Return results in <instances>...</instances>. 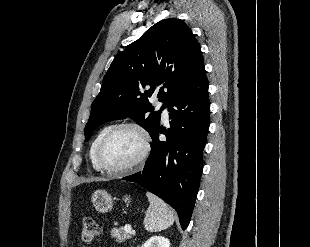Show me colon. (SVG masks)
Returning <instances> with one entry per match:
<instances>
[{"label": "colon", "mask_w": 310, "mask_h": 247, "mask_svg": "<svg viewBox=\"0 0 310 247\" xmlns=\"http://www.w3.org/2000/svg\"><path fill=\"white\" fill-rule=\"evenodd\" d=\"M100 233L99 225L92 218H85L81 227V239L85 244H91Z\"/></svg>", "instance_id": "5ec220e1"}]
</instances>
